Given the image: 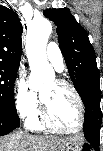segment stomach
Wrapping results in <instances>:
<instances>
[{
  "label": "stomach",
  "instance_id": "obj_1",
  "mask_svg": "<svg viewBox=\"0 0 103 151\" xmlns=\"http://www.w3.org/2000/svg\"><path fill=\"white\" fill-rule=\"evenodd\" d=\"M76 139L66 140L58 144L53 151H82L85 149V143L82 139L75 137Z\"/></svg>",
  "mask_w": 103,
  "mask_h": 151
}]
</instances>
